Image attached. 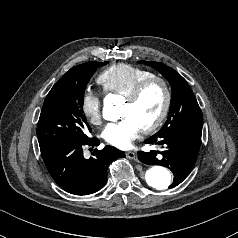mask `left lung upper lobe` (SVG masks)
Here are the masks:
<instances>
[{
	"mask_svg": "<svg viewBox=\"0 0 238 238\" xmlns=\"http://www.w3.org/2000/svg\"><path fill=\"white\" fill-rule=\"evenodd\" d=\"M159 71L170 83L172 96L169 115L164 126L154 135L178 129L202 128L203 116L187 81L174 69L160 62L139 61Z\"/></svg>",
	"mask_w": 238,
	"mask_h": 238,
	"instance_id": "left-lung-upper-lobe-1",
	"label": "left lung upper lobe"
}]
</instances>
